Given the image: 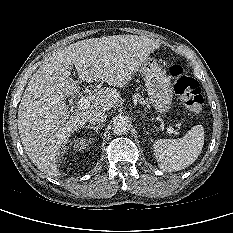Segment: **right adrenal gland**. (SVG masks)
<instances>
[{
    "label": "right adrenal gland",
    "mask_w": 233,
    "mask_h": 233,
    "mask_svg": "<svg viewBox=\"0 0 233 233\" xmlns=\"http://www.w3.org/2000/svg\"><path fill=\"white\" fill-rule=\"evenodd\" d=\"M101 128H102V125H98V126L88 125V126L85 127V129H93V130H95V132H98V130L101 129Z\"/></svg>",
    "instance_id": "1"
}]
</instances>
